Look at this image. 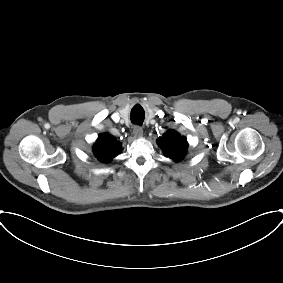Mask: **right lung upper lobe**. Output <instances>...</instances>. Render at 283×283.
<instances>
[{
    "instance_id": "obj_1",
    "label": "right lung upper lobe",
    "mask_w": 283,
    "mask_h": 283,
    "mask_svg": "<svg viewBox=\"0 0 283 283\" xmlns=\"http://www.w3.org/2000/svg\"><path fill=\"white\" fill-rule=\"evenodd\" d=\"M121 144L107 133L100 134L94 145L93 152L101 162H109L118 154Z\"/></svg>"
}]
</instances>
